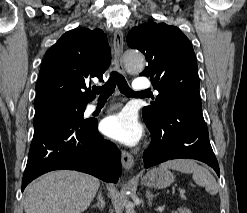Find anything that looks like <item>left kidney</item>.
Returning <instances> with one entry per match:
<instances>
[{"label": "left kidney", "mask_w": 247, "mask_h": 213, "mask_svg": "<svg viewBox=\"0 0 247 213\" xmlns=\"http://www.w3.org/2000/svg\"><path fill=\"white\" fill-rule=\"evenodd\" d=\"M179 213H192L188 208H180Z\"/></svg>", "instance_id": "obj_1"}]
</instances>
